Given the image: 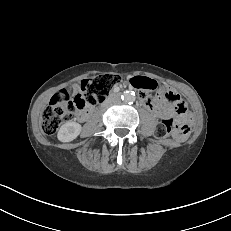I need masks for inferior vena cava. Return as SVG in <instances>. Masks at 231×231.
<instances>
[{"label": "inferior vena cava", "mask_w": 231, "mask_h": 231, "mask_svg": "<svg viewBox=\"0 0 231 231\" xmlns=\"http://www.w3.org/2000/svg\"><path fill=\"white\" fill-rule=\"evenodd\" d=\"M115 101H118V96L115 94H112L109 96L106 103L111 104V103H114Z\"/></svg>", "instance_id": "inferior-vena-cava-1"}]
</instances>
